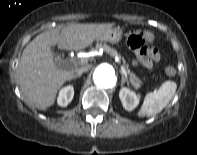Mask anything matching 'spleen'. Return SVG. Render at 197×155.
<instances>
[{"instance_id": "1", "label": "spleen", "mask_w": 197, "mask_h": 155, "mask_svg": "<svg viewBox=\"0 0 197 155\" xmlns=\"http://www.w3.org/2000/svg\"><path fill=\"white\" fill-rule=\"evenodd\" d=\"M177 84L173 81L164 82L159 90L146 94L138 112L139 117H150L161 112L175 95Z\"/></svg>"}]
</instances>
